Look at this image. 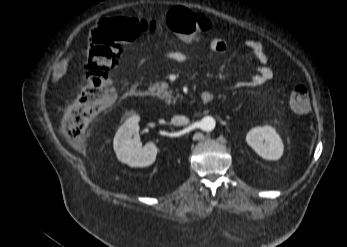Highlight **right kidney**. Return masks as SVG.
Instances as JSON below:
<instances>
[{"label":"right kidney","mask_w":347,"mask_h":247,"mask_svg":"<svg viewBox=\"0 0 347 247\" xmlns=\"http://www.w3.org/2000/svg\"><path fill=\"white\" fill-rule=\"evenodd\" d=\"M139 116H132L117 130L113 146L118 160L130 167H147L155 162L158 148L149 142L144 147L139 137Z\"/></svg>","instance_id":"obj_1"}]
</instances>
